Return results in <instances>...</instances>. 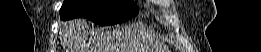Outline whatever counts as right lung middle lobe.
I'll list each match as a JSON object with an SVG mask.
<instances>
[{
	"instance_id": "dd1d6c3e",
	"label": "right lung middle lobe",
	"mask_w": 261,
	"mask_h": 52,
	"mask_svg": "<svg viewBox=\"0 0 261 52\" xmlns=\"http://www.w3.org/2000/svg\"><path fill=\"white\" fill-rule=\"evenodd\" d=\"M137 10L135 3L122 0H65L60 9V18L85 17L104 26L127 21Z\"/></svg>"
}]
</instances>
